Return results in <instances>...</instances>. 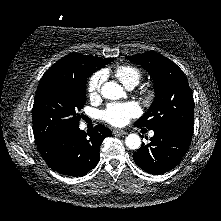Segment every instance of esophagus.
<instances>
[{
  "label": "esophagus",
  "mask_w": 221,
  "mask_h": 221,
  "mask_svg": "<svg viewBox=\"0 0 221 221\" xmlns=\"http://www.w3.org/2000/svg\"><path fill=\"white\" fill-rule=\"evenodd\" d=\"M113 134L125 135V134H127V132L124 130H121V129H114Z\"/></svg>",
  "instance_id": "obj_1"
}]
</instances>
